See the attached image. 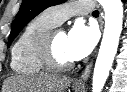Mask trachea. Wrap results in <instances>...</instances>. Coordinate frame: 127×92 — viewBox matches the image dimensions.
Returning a JSON list of instances; mask_svg holds the SVG:
<instances>
[{"mask_svg": "<svg viewBox=\"0 0 127 92\" xmlns=\"http://www.w3.org/2000/svg\"><path fill=\"white\" fill-rule=\"evenodd\" d=\"M92 15H99V11L98 10H95Z\"/></svg>", "mask_w": 127, "mask_h": 92, "instance_id": "1", "label": "trachea"}]
</instances>
